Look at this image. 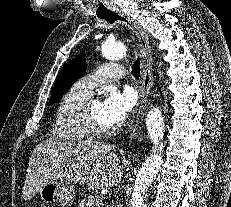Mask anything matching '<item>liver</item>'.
Returning <instances> with one entry per match:
<instances>
[{
	"mask_svg": "<svg viewBox=\"0 0 231 207\" xmlns=\"http://www.w3.org/2000/svg\"><path fill=\"white\" fill-rule=\"evenodd\" d=\"M123 176L112 146L92 141L48 140L36 146L29 160L22 197L31 199L51 180L87 184L88 189H107Z\"/></svg>",
	"mask_w": 231,
	"mask_h": 207,
	"instance_id": "6515ba94",
	"label": "liver"
}]
</instances>
